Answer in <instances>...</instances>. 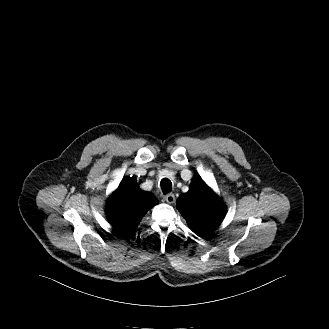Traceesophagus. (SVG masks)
Wrapping results in <instances>:
<instances>
[{
    "label": "esophagus",
    "mask_w": 329,
    "mask_h": 329,
    "mask_svg": "<svg viewBox=\"0 0 329 329\" xmlns=\"http://www.w3.org/2000/svg\"><path fill=\"white\" fill-rule=\"evenodd\" d=\"M164 200L169 203V204H172L175 202V196L173 193H169L167 195L164 196Z\"/></svg>",
    "instance_id": "esophagus-1"
}]
</instances>
